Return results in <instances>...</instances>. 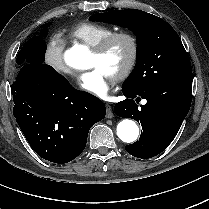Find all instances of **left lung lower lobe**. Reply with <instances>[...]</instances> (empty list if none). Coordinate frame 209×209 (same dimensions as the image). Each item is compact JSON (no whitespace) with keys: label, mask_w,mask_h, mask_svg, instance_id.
I'll return each mask as SVG.
<instances>
[{"label":"left lung lower lobe","mask_w":209,"mask_h":209,"mask_svg":"<svg viewBox=\"0 0 209 209\" xmlns=\"http://www.w3.org/2000/svg\"><path fill=\"white\" fill-rule=\"evenodd\" d=\"M126 100L114 106L116 115L141 124L139 141L125 147L131 155L148 159L164 151L177 135L191 105L192 79L157 83L143 89L122 87ZM146 99L145 105L133 100Z\"/></svg>","instance_id":"obj_1"}]
</instances>
